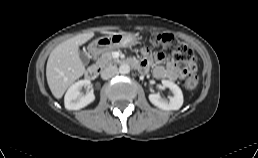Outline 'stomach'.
Instances as JSON below:
<instances>
[{"instance_id":"obj_1","label":"stomach","mask_w":258,"mask_h":158,"mask_svg":"<svg viewBox=\"0 0 258 158\" xmlns=\"http://www.w3.org/2000/svg\"><path fill=\"white\" fill-rule=\"evenodd\" d=\"M138 39L139 36L133 33H115L94 40L90 48L95 54H100L114 48L132 46Z\"/></svg>"}]
</instances>
